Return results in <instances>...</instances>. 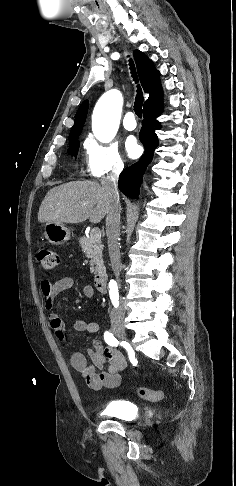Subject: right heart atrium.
Segmentation results:
<instances>
[{
	"label": "right heart atrium",
	"instance_id": "right-heart-atrium-1",
	"mask_svg": "<svg viewBox=\"0 0 236 486\" xmlns=\"http://www.w3.org/2000/svg\"><path fill=\"white\" fill-rule=\"evenodd\" d=\"M87 174L94 179L119 174L125 166L118 147L88 137L84 143Z\"/></svg>",
	"mask_w": 236,
	"mask_h": 486
}]
</instances>
